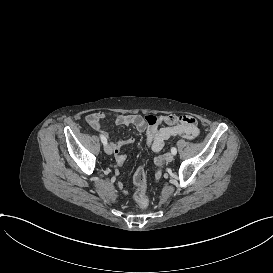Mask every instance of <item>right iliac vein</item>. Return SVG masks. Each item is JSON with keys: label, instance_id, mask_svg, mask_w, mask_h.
Here are the masks:
<instances>
[{"label": "right iliac vein", "instance_id": "63e3f726", "mask_svg": "<svg viewBox=\"0 0 273 273\" xmlns=\"http://www.w3.org/2000/svg\"><path fill=\"white\" fill-rule=\"evenodd\" d=\"M104 151L108 154L111 155L112 154V147L110 144H105L104 145Z\"/></svg>", "mask_w": 273, "mask_h": 273}]
</instances>
